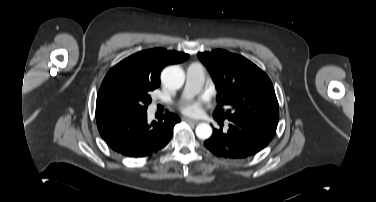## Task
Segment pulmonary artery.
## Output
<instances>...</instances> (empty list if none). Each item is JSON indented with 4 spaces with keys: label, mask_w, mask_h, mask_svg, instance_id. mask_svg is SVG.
<instances>
[{
    "label": "pulmonary artery",
    "mask_w": 376,
    "mask_h": 202,
    "mask_svg": "<svg viewBox=\"0 0 376 202\" xmlns=\"http://www.w3.org/2000/svg\"><path fill=\"white\" fill-rule=\"evenodd\" d=\"M205 74V68L202 64L196 62L189 65L186 71V86L184 90L186 96H191L200 91L205 80Z\"/></svg>",
    "instance_id": "obj_1"
}]
</instances>
